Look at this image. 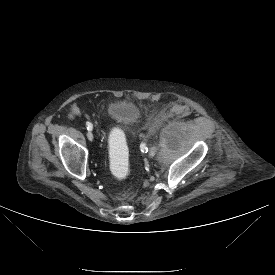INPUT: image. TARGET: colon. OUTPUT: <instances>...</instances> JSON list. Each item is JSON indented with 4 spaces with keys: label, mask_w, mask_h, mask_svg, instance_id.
I'll return each mask as SVG.
<instances>
[{
    "label": "colon",
    "mask_w": 275,
    "mask_h": 275,
    "mask_svg": "<svg viewBox=\"0 0 275 275\" xmlns=\"http://www.w3.org/2000/svg\"><path fill=\"white\" fill-rule=\"evenodd\" d=\"M110 170L117 179H124L130 171L129 151L123 137L114 132L110 139Z\"/></svg>",
    "instance_id": "5ec220e1"
}]
</instances>
